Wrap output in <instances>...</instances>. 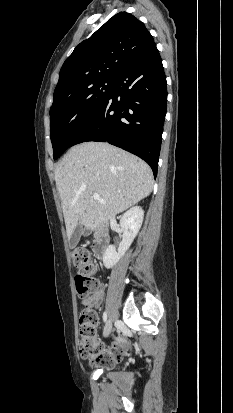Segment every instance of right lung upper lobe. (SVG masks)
Returning <instances> with one entry per match:
<instances>
[{
    "instance_id": "obj_1",
    "label": "right lung upper lobe",
    "mask_w": 233,
    "mask_h": 413,
    "mask_svg": "<svg viewBox=\"0 0 233 413\" xmlns=\"http://www.w3.org/2000/svg\"><path fill=\"white\" fill-rule=\"evenodd\" d=\"M154 44L144 24L126 12L110 18L89 39L76 46L60 70L54 101L98 80L115 78L129 62Z\"/></svg>"
}]
</instances>
